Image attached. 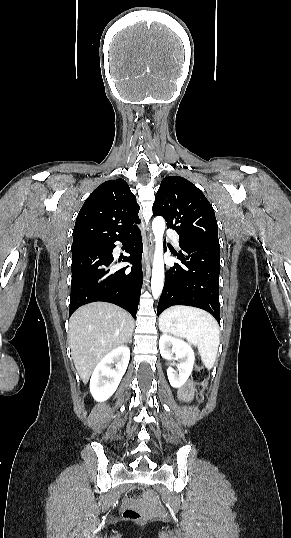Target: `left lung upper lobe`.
Instances as JSON below:
<instances>
[{
	"instance_id": "left-lung-upper-lobe-1",
	"label": "left lung upper lobe",
	"mask_w": 291,
	"mask_h": 538,
	"mask_svg": "<svg viewBox=\"0 0 291 538\" xmlns=\"http://www.w3.org/2000/svg\"><path fill=\"white\" fill-rule=\"evenodd\" d=\"M155 216H163L179 242L219 245L218 225L212 205L204 194L183 177H165L155 196Z\"/></svg>"
}]
</instances>
